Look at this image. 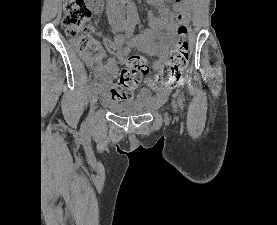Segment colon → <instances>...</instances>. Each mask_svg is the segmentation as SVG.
Instances as JSON below:
<instances>
[{
    "label": "colon",
    "instance_id": "1",
    "mask_svg": "<svg viewBox=\"0 0 277 225\" xmlns=\"http://www.w3.org/2000/svg\"><path fill=\"white\" fill-rule=\"evenodd\" d=\"M63 25L67 35L71 38L72 46L81 52L98 48V43L90 33L93 27L90 24L91 10L85 0H64ZM183 15L178 14L180 23L177 34L179 40L171 51L169 60L157 74L158 83L175 84L180 79L183 69L189 60V44L185 38L187 28L182 24ZM148 72V60L142 55H131L121 69L119 80L110 90V98L115 102L126 101L133 97L141 78Z\"/></svg>",
    "mask_w": 277,
    "mask_h": 225
}]
</instances>
